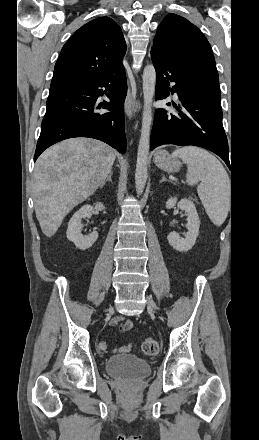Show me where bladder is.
Instances as JSON below:
<instances>
[{"mask_svg": "<svg viewBox=\"0 0 259 440\" xmlns=\"http://www.w3.org/2000/svg\"><path fill=\"white\" fill-rule=\"evenodd\" d=\"M105 370L112 377L140 379L150 374L151 365L133 354H117L107 359Z\"/></svg>", "mask_w": 259, "mask_h": 440, "instance_id": "31cf9c89", "label": "bladder"}]
</instances>
